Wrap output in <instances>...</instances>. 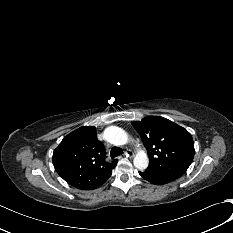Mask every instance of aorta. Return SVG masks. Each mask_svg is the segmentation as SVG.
Instances as JSON below:
<instances>
[{
  "label": "aorta",
  "mask_w": 233,
  "mask_h": 233,
  "mask_svg": "<svg viewBox=\"0 0 233 233\" xmlns=\"http://www.w3.org/2000/svg\"><path fill=\"white\" fill-rule=\"evenodd\" d=\"M105 139L113 145H124L128 143V135L126 132L116 126H110L104 131ZM134 166L139 170H145L148 167L149 159L146 152L142 149L137 151L133 160Z\"/></svg>",
  "instance_id": "1"
}]
</instances>
